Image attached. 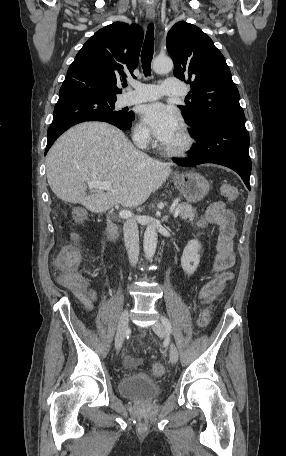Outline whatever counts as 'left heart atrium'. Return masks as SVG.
<instances>
[{
	"label": "left heart atrium",
	"instance_id": "left-heart-atrium-1",
	"mask_svg": "<svg viewBox=\"0 0 286 456\" xmlns=\"http://www.w3.org/2000/svg\"><path fill=\"white\" fill-rule=\"evenodd\" d=\"M144 124L162 144L170 141L179 131L180 122L177 112L165 104L155 102L141 109Z\"/></svg>",
	"mask_w": 286,
	"mask_h": 456
}]
</instances>
